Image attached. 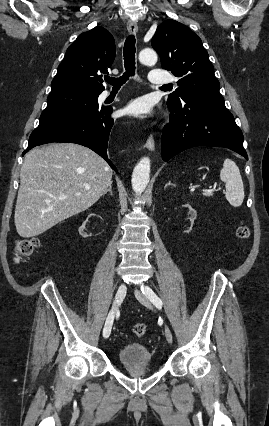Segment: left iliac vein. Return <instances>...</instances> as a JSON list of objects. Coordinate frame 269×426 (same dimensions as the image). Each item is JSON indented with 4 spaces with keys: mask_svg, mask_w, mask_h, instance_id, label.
<instances>
[{
    "mask_svg": "<svg viewBox=\"0 0 269 426\" xmlns=\"http://www.w3.org/2000/svg\"><path fill=\"white\" fill-rule=\"evenodd\" d=\"M135 296L140 301V303H142L144 306L149 307V308L152 307L150 302L148 301V299L140 291L135 290ZM165 337H166V340L168 341V343L171 344L173 337H172V333H171L168 326H165Z\"/></svg>",
    "mask_w": 269,
    "mask_h": 426,
    "instance_id": "4c4485c4",
    "label": "left iliac vein"
}]
</instances>
